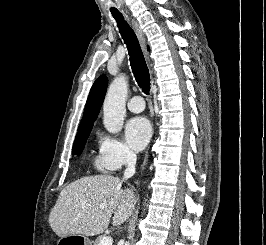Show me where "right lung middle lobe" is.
<instances>
[{
  "label": "right lung middle lobe",
  "mask_w": 266,
  "mask_h": 245,
  "mask_svg": "<svg viewBox=\"0 0 266 245\" xmlns=\"http://www.w3.org/2000/svg\"><path fill=\"white\" fill-rule=\"evenodd\" d=\"M93 127V122L85 125H81L78 127V133L76 135L74 144H73V154L80 155L86 141L89 137L91 129Z\"/></svg>",
  "instance_id": "dd1d6c3e"
}]
</instances>
